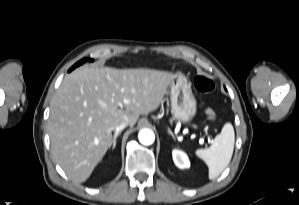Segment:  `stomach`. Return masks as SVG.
<instances>
[{
    "instance_id": "0dacf381",
    "label": "stomach",
    "mask_w": 299,
    "mask_h": 205,
    "mask_svg": "<svg viewBox=\"0 0 299 205\" xmlns=\"http://www.w3.org/2000/svg\"><path fill=\"white\" fill-rule=\"evenodd\" d=\"M171 113L173 120L187 123L197 111V102L191 85L183 73L178 72L170 84Z\"/></svg>"
}]
</instances>
